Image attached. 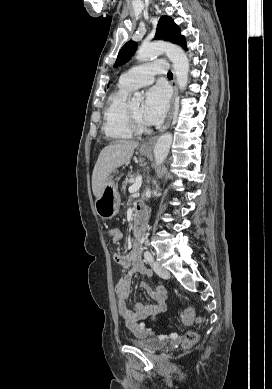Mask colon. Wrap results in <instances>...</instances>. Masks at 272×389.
Masks as SVG:
<instances>
[{
  "label": "colon",
  "mask_w": 272,
  "mask_h": 389,
  "mask_svg": "<svg viewBox=\"0 0 272 389\" xmlns=\"http://www.w3.org/2000/svg\"><path fill=\"white\" fill-rule=\"evenodd\" d=\"M109 237L112 240L113 243L117 244L122 239V234L119 229L117 228H111L108 231ZM194 320V311L191 308H188L184 311L182 316V323L184 325H189ZM195 321L197 324H201L202 320L200 317L195 318ZM200 338V334L196 330L188 331L185 334L184 340H183V346L185 348H190L194 346Z\"/></svg>",
  "instance_id": "1"
}]
</instances>
